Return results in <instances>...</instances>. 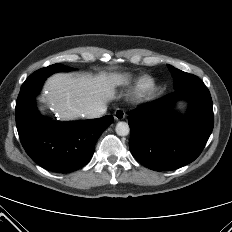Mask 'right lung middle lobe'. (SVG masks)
<instances>
[{
  "instance_id": "right-lung-middle-lobe-1",
  "label": "right lung middle lobe",
  "mask_w": 232,
  "mask_h": 232,
  "mask_svg": "<svg viewBox=\"0 0 232 232\" xmlns=\"http://www.w3.org/2000/svg\"><path fill=\"white\" fill-rule=\"evenodd\" d=\"M69 70H71L70 67H67V66L59 64V63L42 68V69H39L27 78V80L23 83V86H27V85L33 84L35 82H38V81H43L48 76H50L51 74H53L55 72L69 71Z\"/></svg>"
}]
</instances>
